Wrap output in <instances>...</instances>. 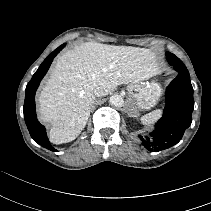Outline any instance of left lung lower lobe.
<instances>
[{"label": "left lung lower lobe", "mask_w": 211, "mask_h": 211, "mask_svg": "<svg viewBox=\"0 0 211 211\" xmlns=\"http://www.w3.org/2000/svg\"><path fill=\"white\" fill-rule=\"evenodd\" d=\"M178 75L166 90V106L162 118L149 136L139 135L149 151H161L177 144L191 125L194 108L193 88L188 70H176Z\"/></svg>", "instance_id": "1"}]
</instances>
